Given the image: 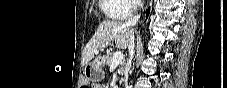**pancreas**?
<instances>
[{
    "mask_svg": "<svg viewBox=\"0 0 227 88\" xmlns=\"http://www.w3.org/2000/svg\"><path fill=\"white\" fill-rule=\"evenodd\" d=\"M112 55L111 54H108L105 56V61H106V64L108 66H111L112 65ZM123 71H124V64L121 63V68H120V72L123 74Z\"/></svg>",
    "mask_w": 227,
    "mask_h": 88,
    "instance_id": "obj_1",
    "label": "pancreas"
}]
</instances>
